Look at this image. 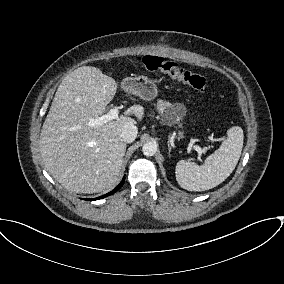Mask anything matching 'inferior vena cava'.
Instances as JSON below:
<instances>
[{
  "mask_svg": "<svg viewBox=\"0 0 284 284\" xmlns=\"http://www.w3.org/2000/svg\"><path fill=\"white\" fill-rule=\"evenodd\" d=\"M137 134L138 129L134 124L124 125L121 131V137L127 143L133 142L136 139Z\"/></svg>",
  "mask_w": 284,
  "mask_h": 284,
  "instance_id": "602c4592",
  "label": "inferior vena cava"
}]
</instances>
